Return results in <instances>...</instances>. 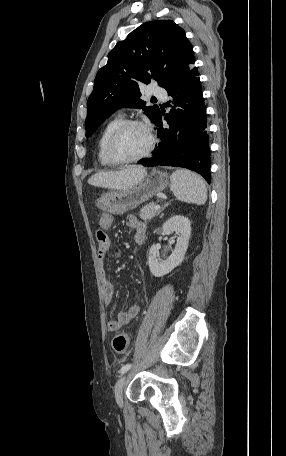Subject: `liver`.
<instances>
[{
  "label": "liver",
  "instance_id": "obj_1",
  "mask_svg": "<svg viewBox=\"0 0 286 456\" xmlns=\"http://www.w3.org/2000/svg\"><path fill=\"white\" fill-rule=\"evenodd\" d=\"M147 170L142 166H127L119 171H100L88 179V184L112 190L129 189L145 179Z\"/></svg>",
  "mask_w": 286,
  "mask_h": 456
}]
</instances>
